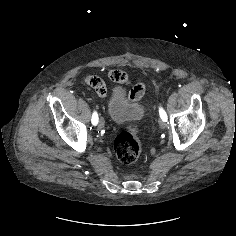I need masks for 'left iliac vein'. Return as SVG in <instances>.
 Returning a JSON list of instances; mask_svg holds the SVG:
<instances>
[{
  "mask_svg": "<svg viewBox=\"0 0 236 236\" xmlns=\"http://www.w3.org/2000/svg\"><path fill=\"white\" fill-rule=\"evenodd\" d=\"M159 125L162 129L166 128V126H167L166 121H164V120H160Z\"/></svg>",
  "mask_w": 236,
  "mask_h": 236,
  "instance_id": "left-iliac-vein-1",
  "label": "left iliac vein"
}]
</instances>
